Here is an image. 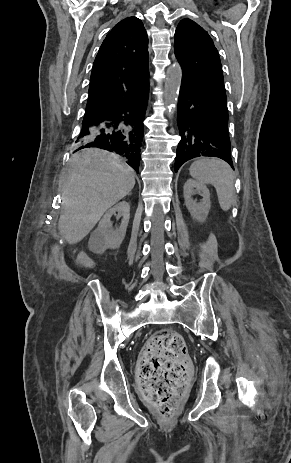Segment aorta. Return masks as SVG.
<instances>
[{
    "label": "aorta",
    "mask_w": 291,
    "mask_h": 463,
    "mask_svg": "<svg viewBox=\"0 0 291 463\" xmlns=\"http://www.w3.org/2000/svg\"><path fill=\"white\" fill-rule=\"evenodd\" d=\"M168 78L165 83V101L169 105L168 117H172L175 110V104L178 98L181 79L182 69L179 65L175 64L167 69Z\"/></svg>",
    "instance_id": "aorta-1"
}]
</instances>
